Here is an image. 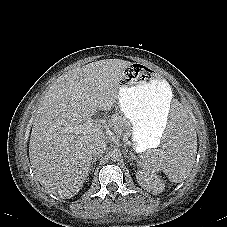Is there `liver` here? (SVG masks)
<instances>
[{
    "label": "liver",
    "mask_w": 227,
    "mask_h": 227,
    "mask_svg": "<svg viewBox=\"0 0 227 227\" xmlns=\"http://www.w3.org/2000/svg\"><path fill=\"white\" fill-rule=\"evenodd\" d=\"M131 64L106 59L73 68L61 75L40 100L29 158L36 178L48 192L69 199L83 187L91 168L92 145L105 141L106 136L102 129L76 134L69 127L115 106L120 78Z\"/></svg>",
    "instance_id": "obj_1"
}]
</instances>
